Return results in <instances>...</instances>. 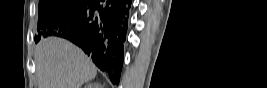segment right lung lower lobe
Here are the masks:
<instances>
[{
  "instance_id": "98d812e1",
  "label": "right lung lower lobe",
  "mask_w": 267,
  "mask_h": 88,
  "mask_svg": "<svg viewBox=\"0 0 267 88\" xmlns=\"http://www.w3.org/2000/svg\"><path fill=\"white\" fill-rule=\"evenodd\" d=\"M131 0H88L65 19L50 25L47 36L75 43L99 69L119 84Z\"/></svg>"
}]
</instances>
